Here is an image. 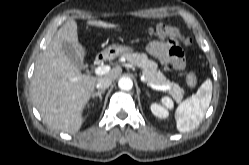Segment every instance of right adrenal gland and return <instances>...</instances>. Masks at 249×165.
<instances>
[{
    "mask_svg": "<svg viewBox=\"0 0 249 165\" xmlns=\"http://www.w3.org/2000/svg\"><path fill=\"white\" fill-rule=\"evenodd\" d=\"M105 93V90L98 91L97 93L92 94V98L95 99L99 97L100 101L102 102V94Z\"/></svg>",
    "mask_w": 249,
    "mask_h": 165,
    "instance_id": "obj_1",
    "label": "right adrenal gland"
}]
</instances>
